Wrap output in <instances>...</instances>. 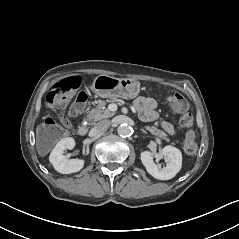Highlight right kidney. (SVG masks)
I'll use <instances>...</instances> for the list:
<instances>
[{"instance_id": "1", "label": "right kidney", "mask_w": 239, "mask_h": 239, "mask_svg": "<svg viewBox=\"0 0 239 239\" xmlns=\"http://www.w3.org/2000/svg\"><path fill=\"white\" fill-rule=\"evenodd\" d=\"M75 147V140L72 137H67L60 140L50 153L49 161L54 166L55 170L62 174H70L80 171L84 166V160L68 159L63 155L67 149Z\"/></svg>"}]
</instances>
